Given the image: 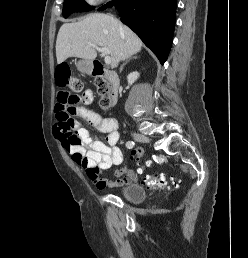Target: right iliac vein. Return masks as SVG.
Wrapping results in <instances>:
<instances>
[{
    "label": "right iliac vein",
    "mask_w": 248,
    "mask_h": 258,
    "mask_svg": "<svg viewBox=\"0 0 248 258\" xmlns=\"http://www.w3.org/2000/svg\"><path fill=\"white\" fill-rule=\"evenodd\" d=\"M133 138L141 143H149L150 142V138L146 135L140 134V133H134L133 134Z\"/></svg>",
    "instance_id": "1"
}]
</instances>
